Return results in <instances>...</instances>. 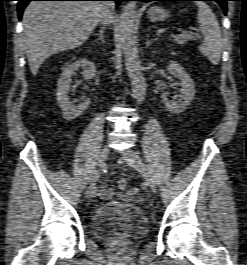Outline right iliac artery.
Listing matches in <instances>:
<instances>
[{
  "label": "right iliac artery",
  "instance_id": "1",
  "mask_svg": "<svg viewBox=\"0 0 247 265\" xmlns=\"http://www.w3.org/2000/svg\"><path fill=\"white\" fill-rule=\"evenodd\" d=\"M99 178H100V173H99V171H95V173H94V175H93V177H92L91 185H90L91 189H92L93 192H94V195H95V184H96V182L99 180Z\"/></svg>",
  "mask_w": 247,
  "mask_h": 265
}]
</instances>
